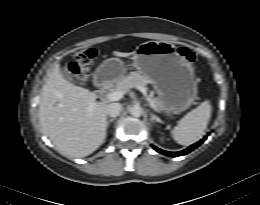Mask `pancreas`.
Listing matches in <instances>:
<instances>
[{"mask_svg":"<svg viewBox=\"0 0 260 205\" xmlns=\"http://www.w3.org/2000/svg\"><path fill=\"white\" fill-rule=\"evenodd\" d=\"M147 82L148 78L140 72H130L129 75L117 81L113 86V89H110V91H122L125 94L131 88L136 87L137 85L145 87ZM150 99L152 100L156 108H161L159 100L155 98L152 94L150 95Z\"/></svg>","mask_w":260,"mask_h":205,"instance_id":"1","label":"pancreas"}]
</instances>
